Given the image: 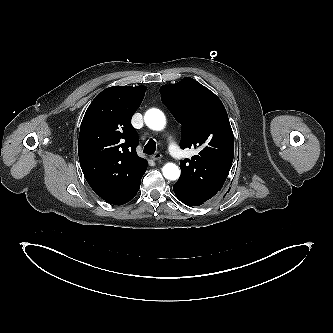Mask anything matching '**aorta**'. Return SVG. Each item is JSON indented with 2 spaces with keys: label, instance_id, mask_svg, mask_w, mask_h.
I'll return each mask as SVG.
<instances>
[{
  "label": "aorta",
  "instance_id": "obj_1",
  "mask_svg": "<svg viewBox=\"0 0 333 333\" xmlns=\"http://www.w3.org/2000/svg\"><path fill=\"white\" fill-rule=\"evenodd\" d=\"M146 125L156 131L164 129L166 125V118L162 111L159 109H149L144 116ZM163 176L169 180H176L180 176V170L174 163H167L162 168Z\"/></svg>",
  "mask_w": 333,
  "mask_h": 333
}]
</instances>
